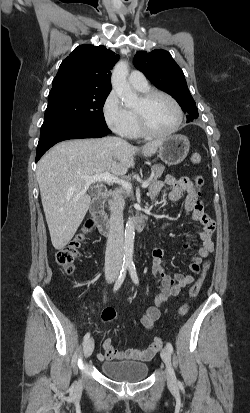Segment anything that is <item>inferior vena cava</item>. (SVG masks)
I'll use <instances>...</instances> for the list:
<instances>
[{
	"label": "inferior vena cava",
	"instance_id": "1",
	"mask_svg": "<svg viewBox=\"0 0 250 413\" xmlns=\"http://www.w3.org/2000/svg\"><path fill=\"white\" fill-rule=\"evenodd\" d=\"M109 235L107 240L105 266L120 269L123 257V203L117 193L110 201Z\"/></svg>",
	"mask_w": 250,
	"mask_h": 413
}]
</instances>
